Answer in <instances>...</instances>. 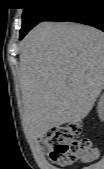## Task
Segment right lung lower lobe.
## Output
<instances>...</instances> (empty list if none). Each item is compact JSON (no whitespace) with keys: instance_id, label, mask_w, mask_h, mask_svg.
Here are the masks:
<instances>
[{"instance_id":"1","label":"right lung lower lobe","mask_w":104,"mask_h":169,"mask_svg":"<svg viewBox=\"0 0 104 169\" xmlns=\"http://www.w3.org/2000/svg\"><path fill=\"white\" fill-rule=\"evenodd\" d=\"M58 5L43 21H70L104 31V0H55Z\"/></svg>"}]
</instances>
